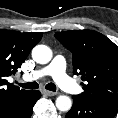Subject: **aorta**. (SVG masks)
<instances>
[{
	"mask_svg": "<svg viewBox=\"0 0 118 118\" xmlns=\"http://www.w3.org/2000/svg\"><path fill=\"white\" fill-rule=\"evenodd\" d=\"M32 58L36 63L47 64L52 59V51L46 45H36L32 50ZM56 107L59 111L67 112L72 107L70 97L60 95L55 101Z\"/></svg>",
	"mask_w": 118,
	"mask_h": 118,
	"instance_id": "aorta-1",
	"label": "aorta"
}]
</instances>
